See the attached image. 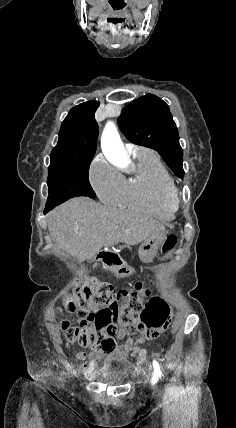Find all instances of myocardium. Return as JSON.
Here are the masks:
<instances>
[{"instance_id": "1", "label": "myocardium", "mask_w": 236, "mask_h": 428, "mask_svg": "<svg viewBox=\"0 0 236 428\" xmlns=\"http://www.w3.org/2000/svg\"><path fill=\"white\" fill-rule=\"evenodd\" d=\"M165 197L168 201L172 202L173 204L175 205L179 204L181 199L180 189L175 184L168 186L165 189Z\"/></svg>"}]
</instances>
